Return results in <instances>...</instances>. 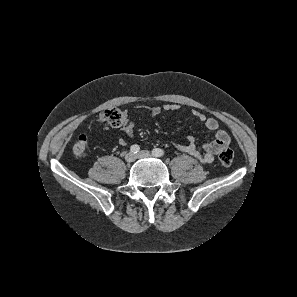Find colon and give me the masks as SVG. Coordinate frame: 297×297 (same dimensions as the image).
Segmentation results:
<instances>
[{"instance_id":"obj_1","label":"colon","mask_w":297,"mask_h":297,"mask_svg":"<svg viewBox=\"0 0 297 297\" xmlns=\"http://www.w3.org/2000/svg\"><path fill=\"white\" fill-rule=\"evenodd\" d=\"M100 119L113 127H119L123 124L124 114L117 108H111L103 111L100 114ZM88 145L89 141L87 136L80 135L73 146L74 155L79 158L85 157L88 153ZM218 159L220 165L229 167L233 162L234 153L231 149H224L219 153Z\"/></svg>"}]
</instances>
